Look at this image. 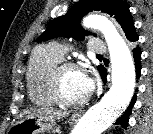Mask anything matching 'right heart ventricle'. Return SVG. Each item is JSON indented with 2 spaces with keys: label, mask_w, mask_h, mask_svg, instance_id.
<instances>
[{
  "label": "right heart ventricle",
  "mask_w": 153,
  "mask_h": 134,
  "mask_svg": "<svg viewBox=\"0 0 153 134\" xmlns=\"http://www.w3.org/2000/svg\"><path fill=\"white\" fill-rule=\"evenodd\" d=\"M50 46H39L32 52L26 71V84L30 100L38 106H54L58 102L50 87V73L61 62Z\"/></svg>",
  "instance_id": "e07e8e85"
}]
</instances>
